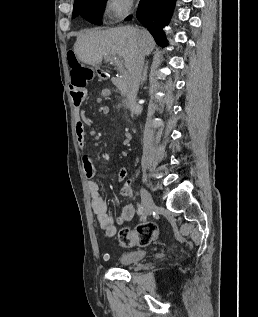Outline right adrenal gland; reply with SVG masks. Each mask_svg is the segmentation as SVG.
<instances>
[{"mask_svg":"<svg viewBox=\"0 0 258 317\" xmlns=\"http://www.w3.org/2000/svg\"><path fill=\"white\" fill-rule=\"evenodd\" d=\"M147 72H148V62H146L145 68L142 72V78L140 80V84H144V80H146V78H147Z\"/></svg>","mask_w":258,"mask_h":317,"instance_id":"2a0ac1e0","label":"right adrenal gland"}]
</instances>
